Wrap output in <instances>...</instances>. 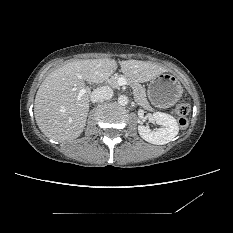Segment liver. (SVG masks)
<instances>
[{"label":"liver","mask_w":233,"mask_h":233,"mask_svg":"<svg viewBox=\"0 0 233 233\" xmlns=\"http://www.w3.org/2000/svg\"><path fill=\"white\" fill-rule=\"evenodd\" d=\"M121 72L134 82L144 83L167 72L157 64L140 60L119 61ZM118 68L114 59L69 62L51 72L41 83L34 103L36 123L43 134L59 142L81 135L89 111L90 90L85 82L101 83ZM86 92L78 98L80 90Z\"/></svg>","instance_id":"liver-1"}]
</instances>
